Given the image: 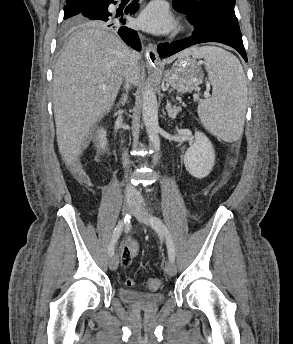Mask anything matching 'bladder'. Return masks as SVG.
I'll return each instance as SVG.
<instances>
[{"mask_svg":"<svg viewBox=\"0 0 293 344\" xmlns=\"http://www.w3.org/2000/svg\"><path fill=\"white\" fill-rule=\"evenodd\" d=\"M119 297L123 302L145 310L155 309L165 300L163 293H144L128 288H121Z\"/></svg>","mask_w":293,"mask_h":344,"instance_id":"obj_1","label":"bladder"}]
</instances>
